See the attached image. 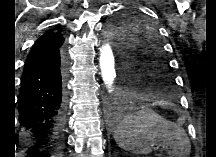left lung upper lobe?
<instances>
[{
    "label": "left lung upper lobe",
    "mask_w": 216,
    "mask_h": 157,
    "mask_svg": "<svg viewBox=\"0 0 216 157\" xmlns=\"http://www.w3.org/2000/svg\"><path fill=\"white\" fill-rule=\"evenodd\" d=\"M155 28L156 23L128 9L113 18L105 31L130 92L173 98L176 83Z\"/></svg>",
    "instance_id": "left-lung-upper-lobe-1"
}]
</instances>
